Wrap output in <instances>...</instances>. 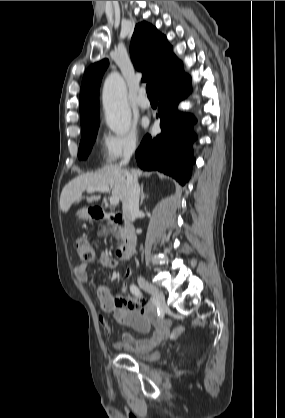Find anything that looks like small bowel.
<instances>
[{
	"mask_svg": "<svg viewBox=\"0 0 285 418\" xmlns=\"http://www.w3.org/2000/svg\"><path fill=\"white\" fill-rule=\"evenodd\" d=\"M96 264L109 269L117 267V260L107 253H101ZM88 264L81 263L75 268L77 278L83 283H90V275L87 271ZM131 268H126L121 278L120 291L101 285L97 289V298L100 307L104 312L112 313L120 322L134 328L137 331H145L149 323H153L155 330L147 338H135L129 333H125L123 338L116 340L113 346L117 349L128 351L152 350L167 339L171 327L167 320L158 319L154 314V308L145 300L133 295H124L130 289ZM131 291V290H130ZM100 323L106 335H111L112 327L109 320L100 316Z\"/></svg>",
	"mask_w": 285,
	"mask_h": 418,
	"instance_id": "c3829d8e",
	"label": "small bowel"
}]
</instances>
